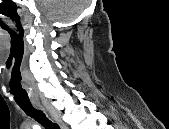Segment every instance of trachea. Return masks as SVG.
<instances>
[{
  "instance_id": "1",
  "label": "trachea",
  "mask_w": 169,
  "mask_h": 129,
  "mask_svg": "<svg viewBox=\"0 0 169 129\" xmlns=\"http://www.w3.org/2000/svg\"><path fill=\"white\" fill-rule=\"evenodd\" d=\"M20 108L31 118L39 122L46 129H60L56 123H53L49 118L39 109H36L32 105L21 106Z\"/></svg>"
}]
</instances>
